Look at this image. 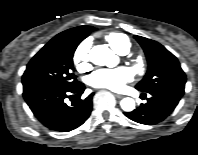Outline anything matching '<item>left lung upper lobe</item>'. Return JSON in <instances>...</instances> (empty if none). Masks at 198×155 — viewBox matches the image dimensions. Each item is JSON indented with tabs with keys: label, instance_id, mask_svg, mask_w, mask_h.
I'll return each instance as SVG.
<instances>
[{
	"label": "left lung upper lobe",
	"instance_id": "left-lung-upper-lobe-1",
	"mask_svg": "<svg viewBox=\"0 0 198 155\" xmlns=\"http://www.w3.org/2000/svg\"><path fill=\"white\" fill-rule=\"evenodd\" d=\"M135 39L143 48L148 61V71L136 89L147 93L164 87L184 90L186 75L177 58L156 41L136 35Z\"/></svg>",
	"mask_w": 198,
	"mask_h": 155
}]
</instances>
